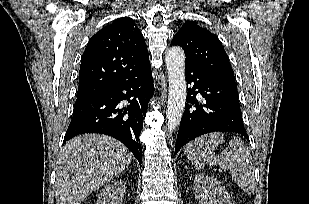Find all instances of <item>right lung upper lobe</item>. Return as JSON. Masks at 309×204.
Listing matches in <instances>:
<instances>
[{
    "mask_svg": "<svg viewBox=\"0 0 309 204\" xmlns=\"http://www.w3.org/2000/svg\"><path fill=\"white\" fill-rule=\"evenodd\" d=\"M149 68L147 46L134 20L118 18L87 44L79 71L77 99L126 82Z\"/></svg>",
    "mask_w": 309,
    "mask_h": 204,
    "instance_id": "right-lung-upper-lobe-1",
    "label": "right lung upper lobe"
}]
</instances>
